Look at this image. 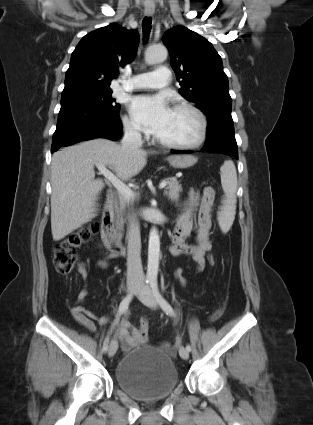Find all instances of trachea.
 <instances>
[{
	"label": "trachea",
	"instance_id": "3493384b",
	"mask_svg": "<svg viewBox=\"0 0 313 425\" xmlns=\"http://www.w3.org/2000/svg\"><path fill=\"white\" fill-rule=\"evenodd\" d=\"M151 24H152V18L151 17H145L142 21V28H143V35L144 39L147 40L150 34L151 30Z\"/></svg>",
	"mask_w": 313,
	"mask_h": 425
}]
</instances>
